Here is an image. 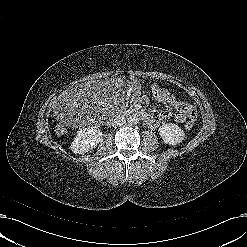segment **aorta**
Masks as SVG:
<instances>
[{
  "label": "aorta",
  "mask_w": 247,
  "mask_h": 247,
  "mask_svg": "<svg viewBox=\"0 0 247 247\" xmlns=\"http://www.w3.org/2000/svg\"><path fill=\"white\" fill-rule=\"evenodd\" d=\"M139 119L135 115H130L127 119L128 124L130 125H136L138 123Z\"/></svg>",
  "instance_id": "aorta-1"
}]
</instances>
